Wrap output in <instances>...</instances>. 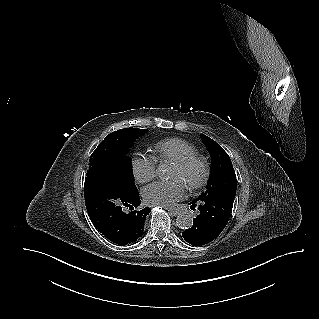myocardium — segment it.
<instances>
[{"label": "myocardium", "mask_w": 319, "mask_h": 319, "mask_svg": "<svg viewBox=\"0 0 319 319\" xmlns=\"http://www.w3.org/2000/svg\"><path fill=\"white\" fill-rule=\"evenodd\" d=\"M193 164L200 165L201 175L196 181L188 184V187L191 190H195L202 187L208 181V178L210 175V166L208 161L206 160L205 157L198 154H194L173 163L174 166H176L177 168L181 170L188 169Z\"/></svg>", "instance_id": "f54148a6"}]
</instances>
